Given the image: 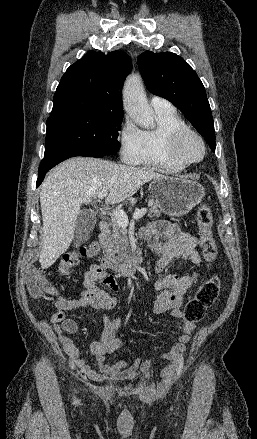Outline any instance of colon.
<instances>
[{
	"label": "colon",
	"mask_w": 257,
	"mask_h": 439,
	"mask_svg": "<svg viewBox=\"0 0 257 439\" xmlns=\"http://www.w3.org/2000/svg\"><path fill=\"white\" fill-rule=\"evenodd\" d=\"M199 230V242L207 262L212 263L217 257V246L212 233L213 214L207 205L198 208L196 214ZM99 246L96 242H89L79 249L70 251L63 256L60 272L66 275L70 268L79 263L81 257H94L99 253ZM27 287L33 297L44 299L53 296L55 288L38 269L32 268L26 276ZM221 282L218 276L214 275L204 281L195 295L188 300L182 313V324H194L202 320L207 310L213 305L219 295Z\"/></svg>",
	"instance_id": "1"
}]
</instances>
